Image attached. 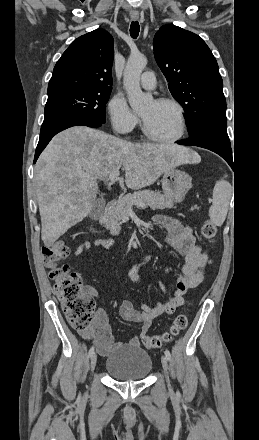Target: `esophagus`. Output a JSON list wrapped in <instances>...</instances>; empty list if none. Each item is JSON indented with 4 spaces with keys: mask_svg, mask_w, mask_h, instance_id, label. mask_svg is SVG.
<instances>
[{
    "mask_svg": "<svg viewBox=\"0 0 259 440\" xmlns=\"http://www.w3.org/2000/svg\"><path fill=\"white\" fill-rule=\"evenodd\" d=\"M131 18L133 20H137L139 18V15L138 14H133V15H131Z\"/></svg>",
    "mask_w": 259,
    "mask_h": 440,
    "instance_id": "esophagus-1",
    "label": "esophagus"
}]
</instances>
